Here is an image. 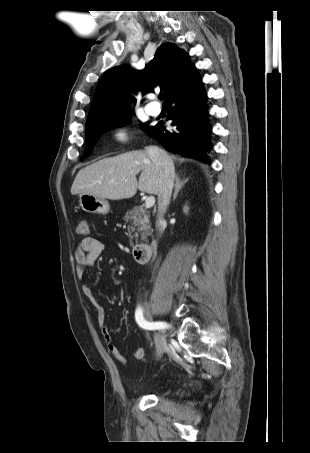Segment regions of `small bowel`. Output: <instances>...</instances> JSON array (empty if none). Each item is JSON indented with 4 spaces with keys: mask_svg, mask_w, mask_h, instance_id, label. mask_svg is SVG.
Returning a JSON list of instances; mask_svg holds the SVG:
<instances>
[{
    "mask_svg": "<svg viewBox=\"0 0 310 453\" xmlns=\"http://www.w3.org/2000/svg\"><path fill=\"white\" fill-rule=\"evenodd\" d=\"M103 249H104L103 243L97 238L87 236L81 239V241L74 250V258L77 264L76 274L78 278H82L85 271L91 266H93L95 261L102 254ZM82 290L84 295L87 297V299L95 308L97 321L108 351L117 361H119L122 364H125L127 361L126 358L120 353L118 347L112 340L109 327L106 323V314L104 307L100 304L95 295L94 290L90 286L83 285ZM134 357L137 360L144 359L145 357L144 348L141 347L137 348L134 352Z\"/></svg>",
    "mask_w": 310,
    "mask_h": 453,
    "instance_id": "1",
    "label": "small bowel"
}]
</instances>
